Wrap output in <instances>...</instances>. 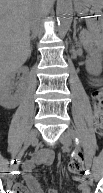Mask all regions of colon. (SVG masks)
Wrapping results in <instances>:
<instances>
[{
	"instance_id": "colon-1",
	"label": "colon",
	"mask_w": 103,
	"mask_h": 193,
	"mask_svg": "<svg viewBox=\"0 0 103 193\" xmlns=\"http://www.w3.org/2000/svg\"><path fill=\"white\" fill-rule=\"evenodd\" d=\"M94 100V124L96 131L99 135H103V92L101 90H96L92 94ZM69 169L72 173L83 174L84 167L83 162L80 158H74L70 164ZM17 193H27L23 186H19L16 189Z\"/></svg>"
}]
</instances>
